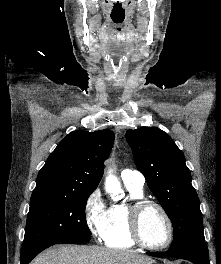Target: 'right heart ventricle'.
I'll list each match as a JSON object with an SVG mask.
<instances>
[{
  "instance_id": "1",
  "label": "right heart ventricle",
  "mask_w": 221,
  "mask_h": 264,
  "mask_svg": "<svg viewBox=\"0 0 221 264\" xmlns=\"http://www.w3.org/2000/svg\"><path fill=\"white\" fill-rule=\"evenodd\" d=\"M128 191V198L126 201L116 203L108 209V217L106 228L102 241L111 248H131L135 243L131 239L128 231L127 223V207L130 202L144 198L142 188L125 184Z\"/></svg>"
}]
</instances>
